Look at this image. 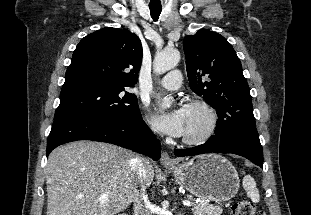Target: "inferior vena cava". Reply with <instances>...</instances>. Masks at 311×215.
I'll return each instance as SVG.
<instances>
[{
  "instance_id": "inferior-vena-cava-1",
  "label": "inferior vena cava",
  "mask_w": 311,
  "mask_h": 215,
  "mask_svg": "<svg viewBox=\"0 0 311 215\" xmlns=\"http://www.w3.org/2000/svg\"><path fill=\"white\" fill-rule=\"evenodd\" d=\"M130 166H131V170L133 171V173H137L143 178L145 177L144 158H141L139 156H134L130 161ZM145 191H146V188L143 187L142 188L143 197L145 196ZM135 202L136 203L134 204V207H135L136 215H137V212H139V210H140L141 215H150V211L145 205L139 204V200H136Z\"/></svg>"
}]
</instances>
